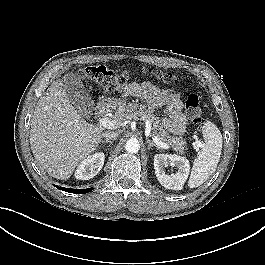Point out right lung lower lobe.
I'll list each match as a JSON object with an SVG mask.
<instances>
[{
    "label": "right lung lower lobe",
    "instance_id": "right-lung-lower-lobe-1",
    "mask_svg": "<svg viewBox=\"0 0 265 265\" xmlns=\"http://www.w3.org/2000/svg\"><path fill=\"white\" fill-rule=\"evenodd\" d=\"M59 190L69 192V193H75V194H85L93 190V188H88V189H70V188H64V187H58L56 186Z\"/></svg>",
    "mask_w": 265,
    "mask_h": 265
}]
</instances>
